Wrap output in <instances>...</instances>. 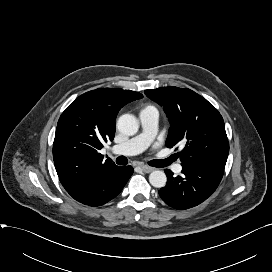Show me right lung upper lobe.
I'll use <instances>...</instances> for the list:
<instances>
[{
	"instance_id": "cb5924a9",
	"label": "right lung upper lobe",
	"mask_w": 272,
	"mask_h": 272,
	"mask_svg": "<svg viewBox=\"0 0 272 272\" xmlns=\"http://www.w3.org/2000/svg\"><path fill=\"white\" fill-rule=\"evenodd\" d=\"M142 94L118 88H99L76 98L62 113L53 143V159L67 192L89 182L115 165L99 153L104 142L113 140L119 110Z\"/></svg>"
}]
</instances>
